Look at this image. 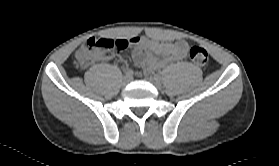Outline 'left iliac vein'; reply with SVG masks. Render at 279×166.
<instances>
[{
  "label": "left iliac vein",
  "mask_w": 279,
  "mask_h": 166,
  "mask_svg": "<svg viewBox=\"0 0 279 166\" xmlns=\"http://www.w3.org/2000/svg\"><path fill=\"white\" fill-rule=\"evenodd\" d=\"M147 80L152 83L158 90L162 89L161 79L157 76L148 77Z\"/></svg>",
  "instance_id": "1"
}]
</instances>
